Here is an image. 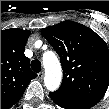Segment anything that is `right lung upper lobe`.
Here are the masks:
<instances>
[{
  "label": "right lung upper lobe",
  "mask_w": 109,
  "mask_h": 109,
  "mask_svg": "<svg viewBox=\"0 0 109 109\" xmlns=\"http://www.w3.org/2000/svg\"><path fill=\"white\" fill-rule=\"evenodd\" d=\"M29 36L30 30L11 28L1 31V109L13 106L37 76L24 54Z\"/></svg>",
  "instance_id": "right-lung-upper-lobe-1"
}]
</instances>
